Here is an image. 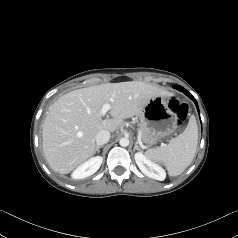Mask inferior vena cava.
<instances>
[{
  "instance_id": "obj_1",
  "label": "inferior vena cava",
  "mask_w": 238,
  "mask_h": 238,
  "mask_svg": "<svg viewBox=\"0 0 238 238\" xmlns=\"http://www.w3.org/2000/svg\"><path fill=\"white\" fill-rule=\"evenodd\" d=\"M110 139V132L108 130H100L95 137L97 145L106 144Z\"/></svg>"
}]
</instances>
